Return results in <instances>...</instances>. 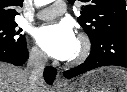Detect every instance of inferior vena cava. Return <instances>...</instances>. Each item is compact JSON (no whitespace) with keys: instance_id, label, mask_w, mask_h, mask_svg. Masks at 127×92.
<instances>
[{"instance_id":"1","label":"inferior vena cava","mask_w":127,"mask_h":92,"mask_svg":"<svg viewBox=\"0 0 127 92\" xmlns=\"http://www.w3.org/2000/svg\"><path fill=\"white\" fill-rule=\"evenodd\" d=\"M47 63V56L38 49L30 51L27 71L29 72V83L32 92H38L39 86L45 85L43 72Z\"/></svg>"}]
</instances>
